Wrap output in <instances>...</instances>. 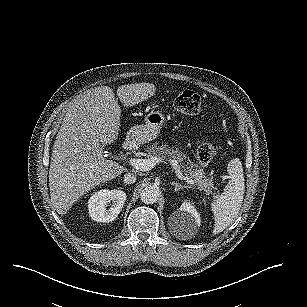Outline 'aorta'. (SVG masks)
I'll list each match as a JSON object with an SVG mask.
<instances>
[{
	"instance_id": "762f6f07",
	"label": "aorta",
	"mask_w": 307,
	"mask_h": 307,
	"mask_svg": "<svg viewBox=\"0 0 307 307\" xmlns=\"http://www.w3.org/2000/svg\"><path fill=\"white\" fill-rule=\"evenodd\" d=\"M159 191L154 186H145L140 192V199L145 204H154L158 201Z\"/></svg>"
}]
</instances>
